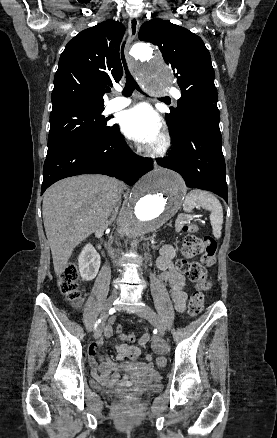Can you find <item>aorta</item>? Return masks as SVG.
I'll list each match as a JSON object with an SVG mask.
<instances>
[{
	"label": "aorta",
	"instance_id": "aorta-1",
	"mask_svg": "<svg viewBox=\"0 0 277 438\" xmlns=\"http://www.w3.org/2000/svg\"><path fill=\"white\" fill-rule=\"evenodd\" d=\"M131 53L141 61L137 75L149 91L162 93L172 82V72L162 57L148 45L135 44ZM186 186L174 171L158 168L133 187L129 202L118 222L117 242L126 245L155 231L179 210Z\"/></svg>",
	"mask_w": 277,
	"mask_h": 438
}]
</instances>
